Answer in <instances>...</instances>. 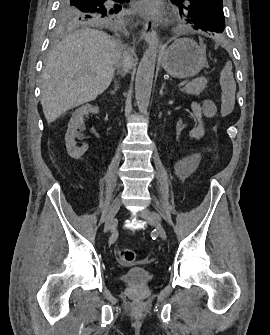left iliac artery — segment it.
<instances>
[{"instance_id":"obj_1","label":"left iliac artery","mask_w":270,"mask_h":335,"mask_svg":"<svg viewBox=\"0 0 270 335\" xmlns=\"http://www.w3.org/2000/svg\"><path fill=\"white\" fill-rule=\"evenodd\" d=\"M152 215H153L156 219H158V220L161 219L160 216H159V214H157L156 212H152Z\"/></svg>"}]
</instances>
